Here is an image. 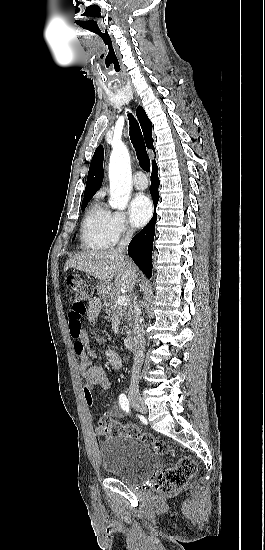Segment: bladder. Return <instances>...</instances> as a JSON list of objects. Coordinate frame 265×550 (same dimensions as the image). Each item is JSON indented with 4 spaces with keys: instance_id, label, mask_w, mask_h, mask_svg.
I'll return each mask as SVG.
<instances>
[{
    "instance_id": "bladder-1",
    "label": "bladder",
    "mask_w": 265,
    "mask_h": 550,
    "mask_svg": "<svg viewBox=\"0 0 265 550\" xmlns=\"http://www.w3.org/2000/svg\"><path fill=\"white\" fill-rule=\"evenodd\" d=\"M102 468L127 483H137L158 465V454L136 438L117 436L99 448Z\"/></svg>"
}]
</instances>
